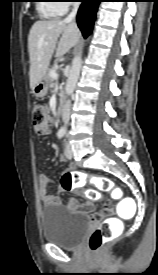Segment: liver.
Here are the masks:
<instances>
[{"label": "liver", "instance_id": "liver-1", "mask_svg": "<svg viewBox=\"0 0 158 275\" xmlns=\"http://www.w3.org/2000/svg\"><path fill=\"white\" fill-rule=\"evenodd\" d=\"M79 38L80 31L74 22L65 23L51 19L39 20L32 25L28 36L29 76L32 90L45 76L54 51L56 50V58L63 57L78 43Z\"/></svg>", "mask_w": 158, "mask_h": 275}]
</instances>
